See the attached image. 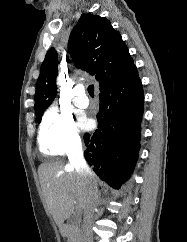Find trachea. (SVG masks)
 <instances>
[{
	"label": "trachea",
	"instance_id": "1",
	"mask_svg": "<svg viewBox=\"0 0 187 242\" xmlns=\"http://www.w3.org/2000/svg\"><path fill=\"white\" fill-rule=\"evenodd\" d=\"M88 93L91 97H94V85L88 86Z\"/></svg>",
	"mask_w": 187,
	"mask_h": 242
}]
</instances>
